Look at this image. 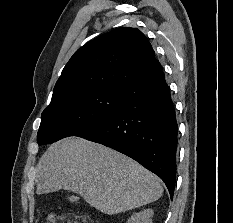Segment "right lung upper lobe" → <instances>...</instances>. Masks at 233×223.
Returning <instances> with one entry per match:
<instances>
[{
    "instance_id": "1",
    "label": "right lung upper lobe",
    "mask_w": 233,
    "mask_h": 223,
    "mask_svg": "<svg viewBox=\"0 0 233 223\" xmlns=\"http://www.w3.org/2000/svg\"><path fill=\"white\" fill-rule=\"evenodd\" d=\"M145 35L117 28L78 49L64 67L52 100L93 88L122 89L161 72L162 66Z\"/></svg>"
}]
</instances>
